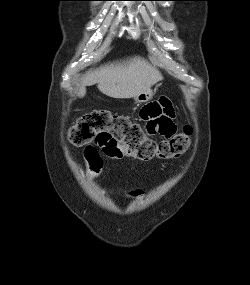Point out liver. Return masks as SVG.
I'll return each mask as SVG.
<instances>
[{"instance_id": "6515ba94", "label": "liver", "mask_w": 250, "mask_h": 285, "mask_svg": "<svg viewBox=\"0 0 250 285\" xmlns=\"http://www.w3.org/2000/svg\"><path fill=\"white\" fill-rule=\"evenodd\" d=\"M161 80L162 75L155 66L144 58L133 57L87 72L82 79L78 96H85L86 86L98 84V89L106 96L129 99L149 90Z\"/></svg>"}]
</instances>
